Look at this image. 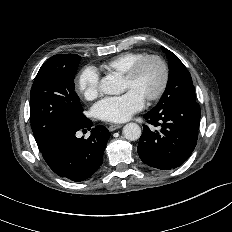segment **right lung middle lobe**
<instances>
[{
    "instance_id": "dd1d6c3e",
    "label": "right lung middle lobe",
    "mask_w": 232,
    "mask_h": 232,
    "mask_svg": "<svg viewBox=\"0 0 232 232\" xmlns=\"http://www.w3.org/2000/svg\"><path fill=\"white\" fill-rule=\"evenodd\" d=\"M80 59L76 54L54 55L35 77L30 92V121L41 152L60 128L86 121L74 85Z\"/></svg>"
}]
</instances>
